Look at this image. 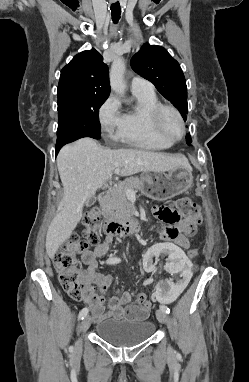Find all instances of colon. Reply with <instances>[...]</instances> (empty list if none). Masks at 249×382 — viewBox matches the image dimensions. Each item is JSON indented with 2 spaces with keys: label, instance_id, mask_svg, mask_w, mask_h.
Wrapping results in <instances>:
<instances>
[{
  "label": "colon",
  "instance_id": "colon-1",
  "mask_svg": "<svg viewBox=\"0 0 249 382\" xmlns=\"http://www.w3.org/2000/svg\"><path fill=\"white\" fill-rule=\"evenodd\" d=\"M171 210L200 221L199 208L187 197H181L171 207H166L163 215L168 217ZM99 214L100 210L94 208L84 217V224L87 228L85 240H81L76 236L70 237L53 256V264L56 271L60 274L62 288L72 299L77 301L82 300L87 291L86 284L82 280V274L78 268L77 254L85 251L88 245H94L99 242L100 236L97 229ZM188 255L191 258H196L199 255V251L198 249H191ZM136 303L137 305H146L148 303L146 294L143 292L139 293Z\"/></svg>",
  "mask_w": 249,
  "mask_h": 382
}]
</instances>
